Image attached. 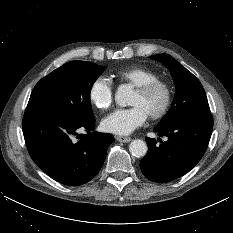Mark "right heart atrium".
<instances>
[{"mask_svg":"<svg viewBox=\"0 0 233 233\" xmlns=\"http://www.w3.org/2000/svg\"><path fill=\"white\" fill-rule=\"evenodd\" d=\"M88 98L90 103L98 110H107L114 99L112 83L104 77L96 78L90 85Z\"/></svg>","mask_w":233,"mask_h":233,"instance_id":"d8ad5b80","label":"right heart atrium"}]
</instances>
